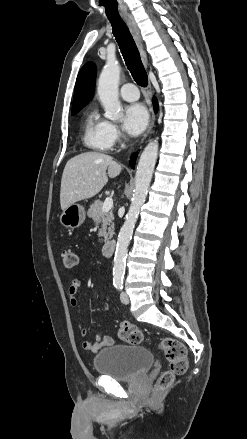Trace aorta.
Masks as SVG:
<instances>
[{
	"instance_id": "762f6f07",
	"label": "aorta",
	"mask_w": 247,
	"mask_h": 439,
	"mask_svg": "<svg viewBox=\"0 0 247 439\" xmlns=\"http://www.w3.org/2000/svg\"><path fill=\"white\" fill-rule=\"evenodd\" d=\"M120 65L115 59H108L98 79L97 92L104 107L105 115L110 120L121 118V105L118 98ZM158 142L151 141L143 150L135 175V189L126 220L120 229L113 267V282L120 284L125 273V261L133 230L145 202L152 174L157 160Z\"/></svg>"
}]
</instances>
